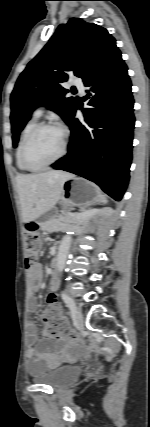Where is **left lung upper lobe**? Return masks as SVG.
Listing matches in <instances>:
<instances>
[{"instance_id": "5c2ea615", "label": "left lung upper lobe", "mask_w": 150, "mask_h": 427, "mask_svg": "<svg viewBox=\"0 0 150 427\" xmlns=\"http://www.w3.org/2000/svg\"><path fill=\"white\" fill-rule=\"evenodd\" d=\"M116 48L107 30L80 18L61 24L40 53L19 76L11 94V125L14 147L32 111L44 105L67 123L76 101L65 97L61 86L73 73L85 81Z\"/></svg>"}]
</instances>
